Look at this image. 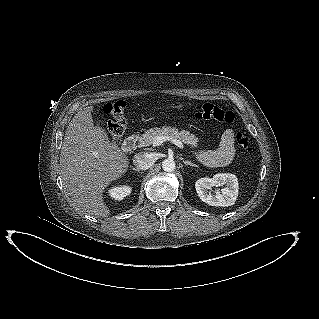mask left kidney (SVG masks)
Instances as JSON below:
<instances>
[{"instance_id":"left-kidney-1","label":"left kidney","mask_w":319,"mask_h":319,"mask_svg":"<svg viewBox=\"0 0 319 319\" xmlns=\"http://www.w3.org/2000/svg\"><path fill=\"white\" fill-rule=\"evenodd\" d=\"M213 186H223V188L212 193L210 189ZM195 188L203 202L211 206L223 207L233 205L239 191L238 179L234 174L230 173H218L212 178H201L196 181Z\"/></svg>"}]
</instances>
